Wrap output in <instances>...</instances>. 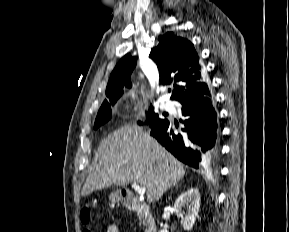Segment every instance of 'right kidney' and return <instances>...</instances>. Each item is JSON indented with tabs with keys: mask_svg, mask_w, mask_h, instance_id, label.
<instances>
[{
	"mask_svg": "<svg viewBox=\"0 0 289 232\" xmlns=\"http://www.w3.org/2000/svg\"><path fill=\"white\" fill-rule=\"evenodd\" d=\"M200 207V195L197 188H190L187 191L181 193L174 203V209L180 212L182 217L183 228L186 231H190L195 223L196 216L198 215ZM182 208H186V213ZM184 215V216H183ZM159 232H168L166 228Z\"/></svg>",
	"mask_w": 289,
	"mask_h": 232,
	"instance_id": "1",
	"label": "right kidney"
}]
</instances>
